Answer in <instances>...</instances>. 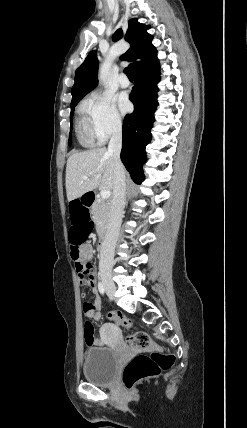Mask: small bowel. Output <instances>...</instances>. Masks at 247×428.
Listing matches in <instances>:
<instances>
[{
  "instance_id": "small-bowel-1",
  "label": "small bowel",
  "mask_w": 247,
  "mask_h": 428,
  "mask_svg": "<svg viewBox=\"0 0 247 428\" xmlns=\"http://www.w3.org/2000/svg\"><path fill=\"white\" fill-rule=\"evenodd\" d=\"M80 256L81 258L89 264L87 277L85 279L80 280L81 286H87L90 288L94 295L93 302H85L83 304L84 314L88 318H92L95 321H98L101 318V301L98 296L97 289V279L96 273L94 269V265L92 263L93 258V249L89 244H85L80 248ZM82 296H85V293L82 292ZM105 343L104 339L95 340L93 345H103Z\"/></svg>"
}]
</instances>
